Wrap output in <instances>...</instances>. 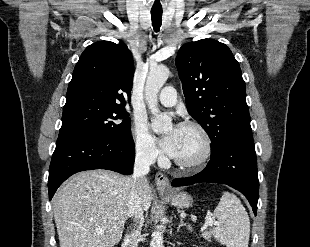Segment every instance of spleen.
<instances>
[{"label": "spleen", "instance_id": "3e777b00", "mask_svg": "<svg viewBox=\"0 0 310 247\" xmlns=\"http://www.w3.org/2000/svg\"><path fill=\"white\" fill-rule=\"evenodd\" d=\"M217 224L212 234L226 247H248L250 220L248 213L237 196L223 192L221 200L214 210Z\"/></svg>", "mask_w": 310, "mask_h": 247}]
</instances>
